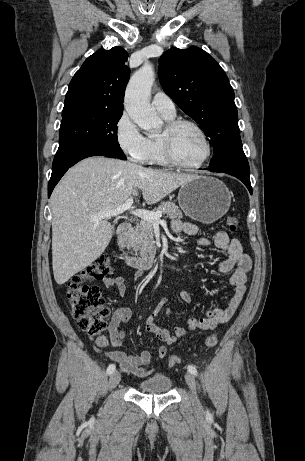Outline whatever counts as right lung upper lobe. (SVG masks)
I'll return each instance as SVG.
<instances>
[{
	"mask_svg": "<svg viewBox=\"0 0 305 461\" xmlns=\"http://www.w3.org/2000/svg\"><path fill=\"white\" fill-rule=\"evenodd\" d=\"M127 58L121 47L99 49L88 57L69 84L64 108L93 106L122 112L130 73Z\"/></svg>",
	"mask_w": 305,
	"mask_h": 461,
	"instance_id": "1",
	"label": "right lung upper lobe"
}]
</instances>
